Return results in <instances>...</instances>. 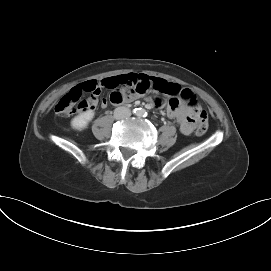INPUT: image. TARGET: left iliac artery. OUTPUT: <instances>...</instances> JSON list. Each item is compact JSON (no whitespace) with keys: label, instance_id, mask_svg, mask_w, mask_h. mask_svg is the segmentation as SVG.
Returning <instances> with one entry per match:
<instances>
[{"label":"left iliac artery","instance_id":"44dca946","mask_svg":"<svg viewBox=\"0 0 271 271\" xmlns=\"http://www.w3.org/2000/svg\"><path fill=\"white\" fill-rule=\"evenodd\" d=\"M141 116L145 117L146 116V112L145 110H141Z\"/></svg>","mask_w":271,"mask_h":271}]
</instances>
